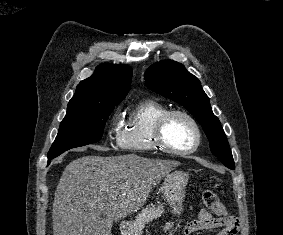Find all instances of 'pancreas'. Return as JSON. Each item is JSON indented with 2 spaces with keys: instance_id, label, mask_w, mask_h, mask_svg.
Instances as JSON below:
<instances>
[{
  "instance_id": "obj_1",
  "label": "pancreas",
  "mask_w": 283,
  "mask_h": 235,
  "mask_svg": "<svg viewBox=\"0 0 283 235\" xmlns=\"http://www.w3.org/2000/svg\"><path fill=\"white\" fill-rule=\"evenodd\" d=\"M163 212L164 206L162 204L147 206L135 218L134 225L136 229L141 231L146 223L161 217Z\"/></svg>"
}]
</instances>
